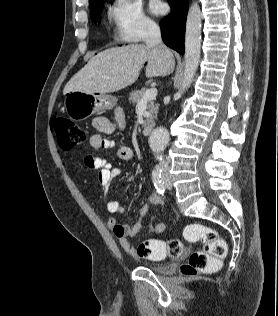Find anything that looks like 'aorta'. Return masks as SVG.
Listing matches in <instances>:
<instances>
[{
    "label": "aorta",
    "mask_w": 278,
    "mask_h": 316,
    "mask_svg": "<svg viewBox=\"0 0 278 316\" xmlns=\"http://www.w3.org/2000/svg\"><path fill=\"white\" fill-rule=\"evenodd\" d=\"M201 20L202 14L197 3H193L189 8L186 33H185V66L181 86V93L185 92L191 85L197 71L201 52ZM169 132L167 129L157 127L149 137V145L156 159L162 158V152L169 142Z\"/></svg>",
    "instance_id": "762f6f07"
}]
</instances>
